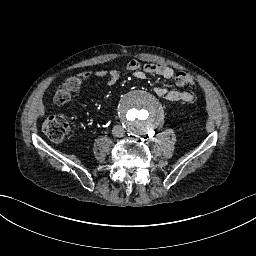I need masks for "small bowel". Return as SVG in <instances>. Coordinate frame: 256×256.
<instances>
[{
	"label": "small bowel",
	"mask_w": 256,
	"mask_h": 256,
	"mask_svg": "<svg viewBox=\"0 0 256 256\" xmlns=\"http://www.w3.org/2000/svg\"><path fill=\"white\" fill-rule=\"evenodd\" d=\"M126 68L129 71H133L134 75L143 79L147 74H154L161 76L166 80H171L175 78V71L173 68L167 65L161 64H141L136 60L128 62ZM91 76H95L100 79H105L107 84L112 86L115 85L120 77V72L117 69L106 70H96L94 72L85 71L81 73L83 79H88ZM155 93L160 97L170 102H191L193 100V94L190 91H180V90H168L165 87H156Z\"/></svg>",
	"instance_id": "small-bowel-1"
}]
</instances>
